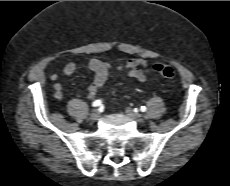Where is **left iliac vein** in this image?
<instances>
[{
  "label": "left iliac vein",
  "mask_w": 230,
  "mask_h": 186,
  "mask_svg": "<svg viewBox=\"0 0 230 186\" xmlns=\"http://www.w3.org/2000/svg\"><path fill=\"white\" fill-rule=\"evenodd\" d=\"M126 115L133 119L134 121L141 123L143 121V116L139 113L134 112L131 108H126Z\"/></svg>",
  "instance_id": "obj_1"
}]
</instances>
